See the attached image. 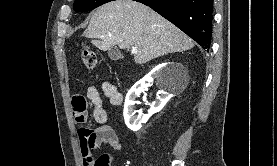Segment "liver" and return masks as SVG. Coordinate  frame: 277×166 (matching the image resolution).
Here are the masks:
<instances>
[{
	"mask_svg": "<svg viewBox=\"0 0 277 166\" xmlns=\"http://www.w3.org/2000/svg\"><path fill=\"white\" fill-rule=\"evenodd\" d=\"M100 50H110L115 45L121 49L134 47L137 64L187 51L194 42L179 28L148 6L132 0H114L98 7L84 32Z\"/></svg>",
	"mask_w": 277,
	"mask_h": 166,
	"instance_id": "1",
	"label": "liver"
}]
</instances>
